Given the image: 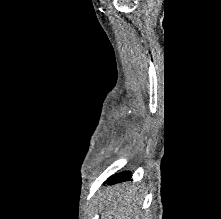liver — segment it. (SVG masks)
Here are the masks:
<instances>
[{"instance_id": "obj_1", "label": "liver", "mask_w": 221, "mask_h": 219, "mask_svg": "<svg viewBox=\"0 0 221 219\" xmlns=\"http://www.w3.org/2000/svg\"><path fill=\"white\" fill-rule=\"evenodd\" d=\"M142 195L134 186L117 185L102 195V219H140Z\"/></svg>"}]
</instances>
